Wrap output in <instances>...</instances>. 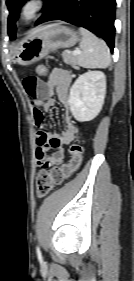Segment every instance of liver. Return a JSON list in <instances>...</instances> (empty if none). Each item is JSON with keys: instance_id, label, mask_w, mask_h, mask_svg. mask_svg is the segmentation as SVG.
<instances>
[{"instance_id": "1", "label": "liver", "mask_w": 134, "mask_h": 281, "mask_svg": "<svg viewBox=\"0 0 134 281\" xmlns=\"http://www.w3.org/2000/svg\"><path fill=\"white\" fill-rule=\"evenodd\" d=\"M48 27H50V26H45V27H41V28L35 29L34 31H32L31 35H34V34L40 32V31H42V30H44V29H46Z\"/></svg>"}]
</instances>
